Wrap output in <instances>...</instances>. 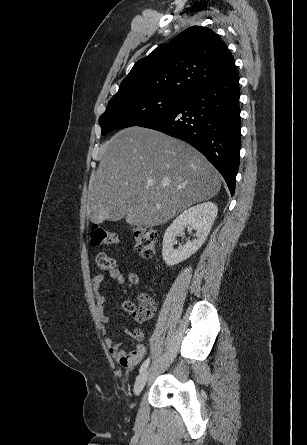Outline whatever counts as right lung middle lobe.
<instances>
[{"mask_svg":"<svg viewBox=\"0 0 307 445\" xmlns=\"http://www.w3.org/2000/svg\"><path fill=\"white\" fill-rule=\"evenodd\" d=\"M183 98L162 94L113 96L99 118L101 133L105 135L116 129L148 122L175 108Z\"/></svg>","mask_w":307,"mask_h":445,"instance_id":"obj_1","label":"right lung middle lobe"}]
</instances>
